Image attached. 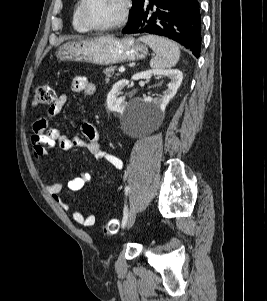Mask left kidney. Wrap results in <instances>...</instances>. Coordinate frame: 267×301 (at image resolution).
<instances>
[{
  "label": "left kidney",
  "mask_w": 267,
  "mask_h": 301,
  "mask_svg": "<svg viewBox=\"0 0 267 301\" xmlns=\"http://www.w3.org/2000/svg\"><path fill=\"white\" fill-rule=\"evenodd\" d=\"M152 76H163L170 79L168 89L163 92L162 96L156 98H151L148 96L144 98L145 103L152 104L155 108L162 110L168 105L169 101L177 93V90L183 80V74L178 69H152L133 75L132 80H149ZM127 85H129V80L125 79L120 80L113 85L107 96V107L110 111L122 113L125 110L127 103L123 97L119 96L124 87Z\"/></svg>",
  "instance_id": "obj_1"
}]
</instances>
